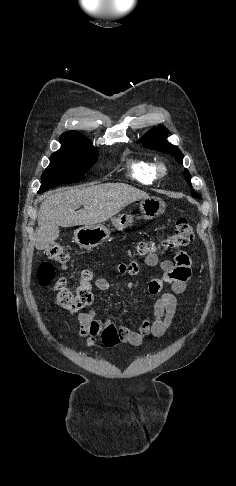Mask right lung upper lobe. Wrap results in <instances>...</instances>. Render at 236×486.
Returning <instances> with one entry per match:
<instances>
[{
  "label": "right lung upper lobe",
  "mask_w": 236,
  "mask_h": 486,
  "mask_svg": "<svg viewBox=\"0 0 236 486\" xmlns=\"http://www.w3.org/2000/svg\"><path fill=\"white\" fill-rule=\"evenodd\" d=\"M60 139L63 141H74L92 145L90 141L76 131H67L60 136Z\"/></svg>",
  "instance_id": "obj_1"
}]
</instances>
